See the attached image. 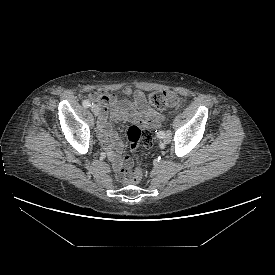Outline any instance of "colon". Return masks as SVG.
<instances>
[{
    "label": "colon",
    "mask_w": 275,
    "mask_h": 275,
    "mask_svg": "<svg viewBox=\"0 0 275 275\" xmlns=\"http://www.w3.org/2000/svg\"><path fill=\"white\" fill-rule=\"evenodd\" d=\"M148 102L159 109L177 106L182 102L181 97L170 90L153 91L148 95ZM127 139L130 147L135 151L142 139L144 145L150 148L153 145L152 133L149 129H142L138 125H132L127 130ZM142 178V171L140 167H136L133 171L130 168L125 169V183L136 184Z\"/></svg>",
    "instance_id": "colon-1"
}]
</instances>
